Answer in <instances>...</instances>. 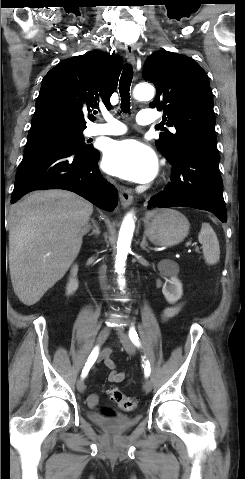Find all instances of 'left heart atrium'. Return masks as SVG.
<instances>
[{"mask_svg":"<svg viewBox=\"0 0 245 479\" xmlns=\"http://www.w3.org/2000/svg\"><path fill=\"white\" fill-rule=\"evenodd\" d=\"M102 166L109 174L145 183L157 174L158 161L148 146L134 139H125L106 146Z\"/></svg>","mask_w":245,"mask_h":479,"instance_id":"1","label":"left heart atrium"}]
</instances>
